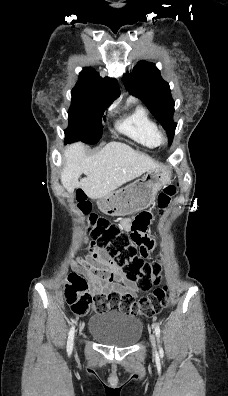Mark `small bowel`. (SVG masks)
<instances>
[{
  "mask_svg": "<svg viewBox=\"0 0 228 396\" xmlns=\"http://www.w3.org/2000/svg\"><path fill=\"white\" fill-rule=\"evenodd\" d=\"M121 227L128 231L129 220H123ZM71 265L87 277L93 294H134L138 290L136 284L127 279L120 267L111 259L102 256L93 241L89 243L88 254L84 258L72 260Z\"/></svg>",
  "mask_w": 228,
  "mask_h": 396,
  "instance_id": "small-bowel-1",
  "label": "small bowel"
}]
</instances>
